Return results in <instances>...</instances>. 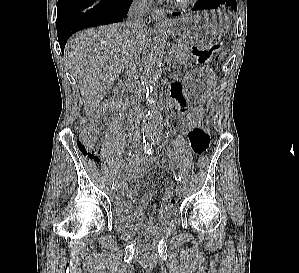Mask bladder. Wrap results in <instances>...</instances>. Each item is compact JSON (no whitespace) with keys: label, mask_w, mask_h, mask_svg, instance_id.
Returning a JSON list of instances; mask_svg holds the SVG:
<instances>
[{"label":"bladder","mask_w":299,"mask_h":273,"mask_svg":"<svg viewBox=\"0 0 299 273\" xmlns=\"http://www.w3.org/2000/svg\"><path fill=\"white\" fill-rule=\"evenodd\" d=\"M113 217H114L115 225L121 228L138 229L142 225L139 219L131 215L123 214L117 208H114L113 210ZM173 222H174L173 215H169L167 217L159 218L157 221H155L153 223V228L155 230L166 228L169 225L173 224Z\"/></svg>","instance_id":"1"}]
</instances>
